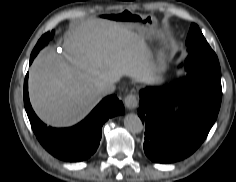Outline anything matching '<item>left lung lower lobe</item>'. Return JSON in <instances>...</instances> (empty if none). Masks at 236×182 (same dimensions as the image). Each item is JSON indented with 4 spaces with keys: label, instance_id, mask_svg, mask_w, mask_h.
Segmentation results:
<instances>
[{
    "label": "left lung lower lobe",
    "instance_id": "0a47b994",
    "mask_svg": "<svg viewBox=\"0 0 236 182\" xmlns=\"http://www.w3.org/2000/svg\"><path fill=\"white\" fill-rule=\"evenodd\" d=\"M187 70L185 83L177 89L147 87L140 91L138 115L146 130L144 152L156 163H172L190 156L217 118L221 78ZM179 101L182 105L178 114L169 110L170 103Z\"/></svg>",
    "mask_w": 236,
    "mask_h": 182
}]
</instances>
